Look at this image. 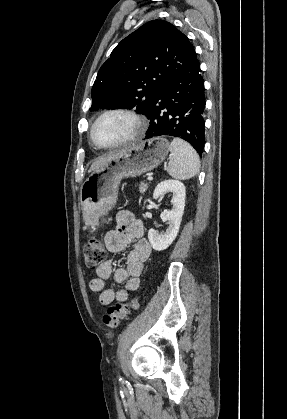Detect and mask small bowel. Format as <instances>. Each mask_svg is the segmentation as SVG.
Returning a JSON list of instances; mask_svg holds the SVG:
<instances>
[{"mask_svg": "<svg viewBox=\"0 0 287 419\" xmlns=\"http://www.w3.org/2000/svg\"><path fill=\"white\" fill-rule=\"evenodd\" d=\"M107 249L112 253H119L134 243V248L127 256V265L123 268L113 269L110 261L103 263L97 268L96 274L90 281L92 291L99 292V303L102 306L109 305L114 300L126 301L131 292L138 290L140 286V275L143 272L144 264L150 256L151 246L144 237V225L130 212L122 211L117 216L115 229L109 230L104 236ZM116 283H125V286L118 290L106 289L105 281L110 277Z\"/></svg>", "mask_w": 287, "mask_h": 419, "instance_id": "obj_1", "label": "small bowel"}]
</instances>
